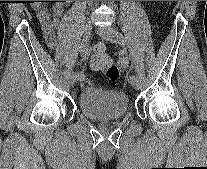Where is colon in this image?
<instances>
[{
	"mask_svg": "<svg viewBox=\"0 0 207 169\" xmlns=\"http://www.w3.org/2000/svg\"><path fill=\"white\" fill-rule=\"evenodd\" d=\"M90 66L92 70L105 74L110 80L114 81L119 76L118 68L113 64L112 59L102 47L96 48Z\"/></svg>",
	"mask_w": 207,
	"mask_h": 169,
	"instance_id": "1",
	"label": "colon"
}]
</instances>
